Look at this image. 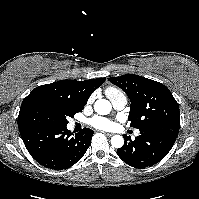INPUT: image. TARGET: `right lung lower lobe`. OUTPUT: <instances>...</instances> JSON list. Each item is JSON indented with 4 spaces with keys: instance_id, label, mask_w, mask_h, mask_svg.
Listing matches in <instances>:
<instances>
[{
    "instance_id": "98d812e1",
    "label": "right lung lower lobe",
    "mask_w": 199,
    "mask_h": 199,
    "mask_svg": "<svg viewBox=\"0 0 199 199\" xmlns=\"http://www.w3.org/2000/svg\"><path fill=\"white\" fill-rule=\"evenodd\" d=\"M30 155L46 168H69L86 153L94 131L83 128L73 134L66 126L19 128Z\"/></svg>"
}]
</instances>
